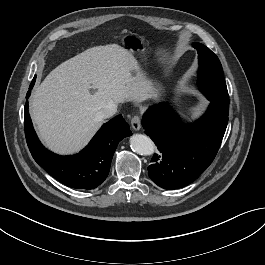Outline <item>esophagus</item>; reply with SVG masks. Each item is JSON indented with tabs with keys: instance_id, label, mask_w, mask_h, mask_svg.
I'll list each match as a JSON object with an SVG mask.
<instances>
[{
	"instance_id": "1",
	"label": "esophagus",
	"mask_w": 265,
	"mask_h": 265,
	"mask_svg": "<svg viewBox=\"0 0 265 265\" xmlns=\"http://www.w3.org/2000/svg\"><path fill=\"white\" fill-rule=\"evenodd\" d=\"M131 126L133 128L134 131H138L141 128V119L138 115H135L132 119H131Z\"/></svg>"
}]
</instances>
